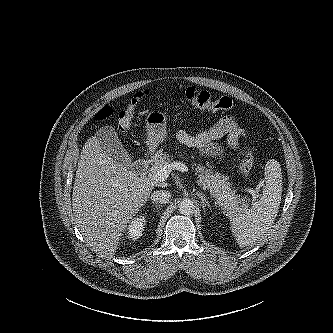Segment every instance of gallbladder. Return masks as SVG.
<instances>
[{
	"label": "gallbladder",
	"mask_w": 333,
	"mask_h": 333,
	"mask_svg": "<svg viewBox=\"0 0 333 333\" xmlns=\"http://www.w3.org/2000/svg\"><path fill=\"white\" fill-rule=\"evenodd\" d=\"M96 138L99 141L104 153L110 156L113 160L127 167L134 169L135 164L127 150L123 147L117 133L110 126L100 128L96 132Z\"/></svg>",
	"instance_id": "gallbladder-1"
}]
</instances>
